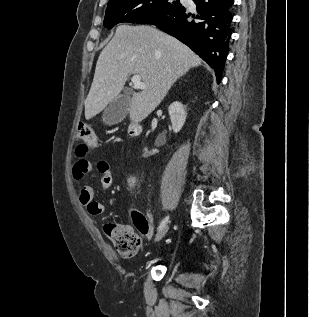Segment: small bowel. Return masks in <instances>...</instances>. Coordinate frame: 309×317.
Returning a JSON list of instances; mask_svg holds the SVG:
<instances>
[{"instance_id": "c3829d8e", "label": "small bowel", "mask_w": 309, "mask_h": 317, "mask_svg": "<svg viewBox=\"0 0 309 317\" xmlns=\"http://www.w3.org/2000/svg\"><path fill=\"white\" fill-rule=\"evenodd\" d=\"M78 158L72 167V177L78 181L83 179L86 175H96L93 164L84 157V151L80 148L77 150ZM97 171L101 173V186L103 191H107L113 182V177L109 171L108 165L105 161H100L97 165ZM130 187H135L139 182V178L135 175H130L127 178ZM79 202L86 208L87 212L96 216L103 212L104 205L100 199L96 198L94 187L90 184L84 185L79 191Z\"/></svg>"}]
</instances>
